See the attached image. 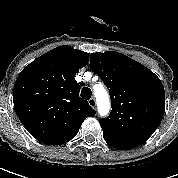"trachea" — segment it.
Returning a JSON list of instances; mask_svg holds the SVG:
<instances>
[{
	"instance_id": "1",
	"label": "trachea",
	"mask_w": 178,
	"mask_h": 178,
	"mask_svg": "<svg viewBox=\"0 0 178 178\" xmlns=\"http://www.w3.org/2000/svg\"><path fill=\"white\" fill-rule=\"evenodd\" d=\"M80 95L83 99L89 100L91 98V95H92L91 89L88 88V87H83Z\"/></svg>"
}]
</instances>
